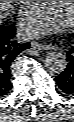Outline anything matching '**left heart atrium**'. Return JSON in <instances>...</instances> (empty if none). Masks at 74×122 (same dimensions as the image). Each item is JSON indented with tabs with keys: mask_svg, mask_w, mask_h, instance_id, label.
<instances>
[{
	"mask_svg": "<svg viewBox=\"0 0 74 122\" xmlns=\"http://www.w3.org/2000/svg\"><path fill=\"white\" fill-rule=\"evenodd\" d=\"M65 20L53 9L44 5L32 13L22 25L23 31L29 36L47 35L62 30Z\"/></svg>",
	"mask_w": 74,
	"mask_h": 122,
	"instance_id": "obj_1",
	"label": "left heart atrium"
}]
</instances>
